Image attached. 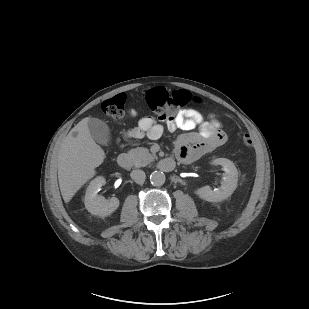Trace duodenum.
I'll use <instances>...</instances> for the list:
<instances>
[{"label":"duodenum","mask_w":309,"mask_h":309,"mask_svg":"<svg viewBox=\"0 0 309 309\" xmlns=\"http://www.w3.org/2000/svg\"><path fill=\"white\" fill-rule=\"evenodd\" d=\"M117 163L123 169H129L132 166L131 158L126 153H120L118 155ZM158 167H159L160 170H162L164 172H169V171H172L174 169L175 162H174L173 159H170V158L162 159L161 161H159Z\"/></svg>","instance_id":"obj_1"}]
</instances>
